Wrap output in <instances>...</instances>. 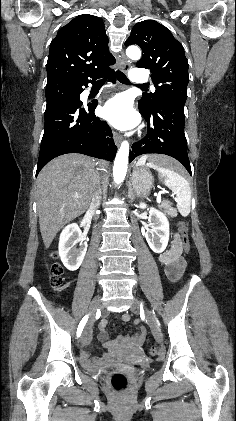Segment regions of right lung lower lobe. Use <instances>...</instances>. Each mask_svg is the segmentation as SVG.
Returning a JSON list of instances; mask_svg holds the SVG:
<instances>
[{
  "mask_svg": "<svg viewBox=\"0 0 236 421\" xmlns=\"http://www.w3.org/2000/svg\"><path fill=\"white\" fill-rule=\"evenodd\" d=\"M102 76L115 82L114 71L98 77ZM94 80L80 81L74 85L79 96L84 90L82 87H88V83ZM96 106L97 101L83 106L82 102L61 103L46 108L36 175L50 160L67 153H81L113 161L117 147L107 123L95 116Z\"/></svg>",
  "mask_w": 236,
  "mask_h": 421,
  "instance_id": "obj_1",
  "label": "right lung lower lobe"
}]
</instances>
